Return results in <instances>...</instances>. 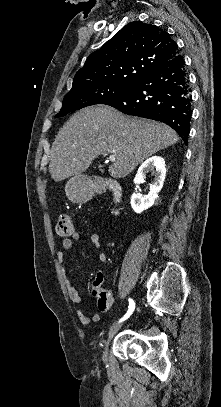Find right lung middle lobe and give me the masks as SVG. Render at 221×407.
I'll list each match as a JSON object with an SVG mask.
<instances>
[{
  "label": "right lung middle lobe",
  "mask_w": 221,
  "mask_h": 407,
  "mask_svg": "<svg viewBox=\"0 0 221 407\" xmlns=\"http://www.w3.org/2000/svg\"><path fill=\"white\" fill-rule=\"evenodd\" d=\"M134 86L135 84H97L70 91L65 95L62 108L56 117L65 116L69 112L90 105L105 104L110 100L124 95Z\"/></svg>",
  "instance_id": "1"
}]
</instances>
